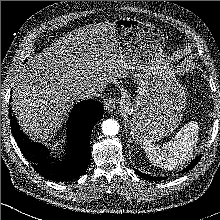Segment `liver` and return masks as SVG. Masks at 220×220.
I'll list each match as a JSON object with an SVG mask.
<instances>
[{"instance_id": "liver-1", "label": "liver", "mask_w": 220, "mask_h": 220, "mask_svg": "<svg viewBox=\"0 0 220 220\" xmlns=\"http://www.w3.org/2000/svg\"><path fill=\"white\" fill-rule=\"evenodd\" d=\"M128 69L114 23L67 33L30 59L15 77L12 105L17 120L34 138L46 139L85 89L116 82Z\"/></svg>"}]
</instances>
